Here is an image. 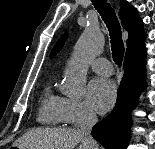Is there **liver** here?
Instances as JSON below:
<instances>
[{
	"mask_svg": "<svg viewBox=\"0 0 155 149\" xmlns=\"http://www.w3.org/2000/svg\"><path fill=\"white\" fill-rule=\"evenodd\" d=\"M89 149L79 129L34 128L22 135L14 144L19 149Z\"/></svg>",
	"mask_w": 155,
	"mask_h": 149,
	"instance_id": "1",
	"label": "liver"
}]
</instances>
